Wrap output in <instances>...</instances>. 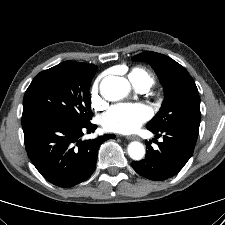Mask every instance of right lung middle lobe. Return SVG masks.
Returning a JSON list of instances; mask_svg holds the SVG:
<instances>
[{"mask_svg":"<svg viewBox=\"0 0 225 225\" xmlns=\"http://www.w3.org/2000/svg\"><path fill=\"white\" fill-rule=\"evenodd\" d=\"M95 72V65L75 61L40 72L25 92L23 114L42 112L75 124L88 123L93 115L89 86Z\"/></svg>","mask_w":225,"mask_h":225,"instance_id":"obj_1","label":"right lung middle lobe"}]
</instances>
